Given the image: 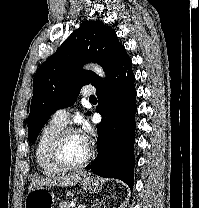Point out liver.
Returning <instances> with one entry per match:
<instances>
[{
	"label": "liver",
	"mask_w": 199,
	"mask_h": 208,
	"mask_svg": "<svg viewBox=\"0 0 199 208\" xmlns=\"http://www.w3.org/2000/svg\"><path fill=\"white\" fill-rule=\"evenodd\" d=\"M81 177L78 174L57 176V177H39L32 180L29 186V191L42 186H60L68 187L76 185Z\"/></svg>",
	"instance_id": "6515ba94"
}]
</instances>
